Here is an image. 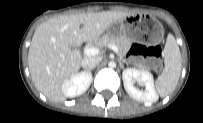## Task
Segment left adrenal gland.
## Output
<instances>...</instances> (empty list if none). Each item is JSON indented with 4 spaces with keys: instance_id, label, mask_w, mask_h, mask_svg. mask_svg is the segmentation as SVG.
Returning <instances> with one entry per match:
<instances>
[{
    "instance_id": "a2214340",
    "label": "left adrenal gland",
    "mask_w": 203,
    "mask_h": 123,
    "mask_svg": "<svg viewBox=\"0 0 203 123\" xmlns=\"http://www.w3.org/2000/svg\"><path fill=\"white\" fill-rule=\"evenodd\" d=\"M121 60V58H120ZM123 63H127L124 59H122V62H120V65H122Z\"/></svg>"
}]
</instances>
